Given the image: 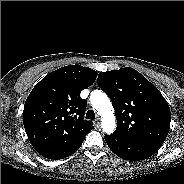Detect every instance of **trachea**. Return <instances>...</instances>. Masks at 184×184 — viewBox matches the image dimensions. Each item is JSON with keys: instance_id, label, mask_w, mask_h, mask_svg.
<instances>
[{"instance_id": "1", "label": "trachea", "mask_w": 184, "mask_h": 184, "mask_svg": "<svg viewBox=\"0 0 184 184\" xmlns=\"http://www.w3.org/2000/svg\"><path fill=\"white\" fill-rule=\"evenodd\" d=\"M86 118L90 119V120H94L95 119V113L93 110H88L86 113Z\"/></svg>"}]
</instances>
